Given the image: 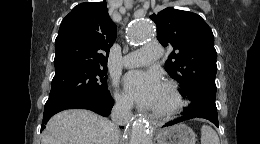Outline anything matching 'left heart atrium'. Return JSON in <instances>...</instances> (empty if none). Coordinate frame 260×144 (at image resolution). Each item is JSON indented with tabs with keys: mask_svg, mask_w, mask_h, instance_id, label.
<instances>
[{
	"mask_svg": "<svg viewBox=\"0 0 260 144\" xmlns=\"http://www.w3.org/2000/svg\"><path fill=\"white\" fill-rule=\"evenodd\" d=\"M129 96L137 103L153 107L158 100L163 84L153 72L131 71L124 78Z\"/></svg>",
	"mask_w": 260,
	"mask_h": 144,
	"instance_id": "1",
	"label": "left heart atrium"
}]
</instances>
